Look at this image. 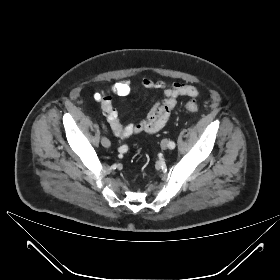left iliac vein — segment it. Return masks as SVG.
Wrapping results in <instances>:
<instances>
[{
    "mask_svg": "<svg viewBox=\"0 0 280 280\" xmlns=\"http://www.w3.org/2000/svg\"><path fill=\"white\" fill-rule=\"evenodd\" d=\"M168 144H169V141H168L167 139H163V140L161 141V148H162L163 150H166V149L168 148Z\"/></svg>",
    "mask_w": 280,
    "mask_h": 280,
    "instance_id": "4c4485c4",
    "label": "left iliac vein"
}]
</instances>
